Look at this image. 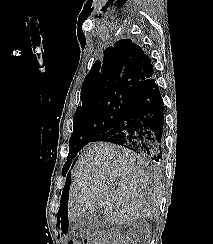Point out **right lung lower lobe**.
<instances>
[{"label": "right lung lower lobe", "instance_id": "1", "mask_svg": "<svg viewBox=\"0 0 213 244\" xmlns=\"http://www.w3.org/2000/svg\"><path fill=\"white\" fill-rule=\"evenodd\" d=\"M163 106L159 87L155 80L151 79L132 98L116 126L95 137L92 142L114 143L130 149L150 161L159 162L162 159L164 138ZM70 181L71 173L69 171L63 195L69 191Z\"/></svg>", "mask_w": 213, "mask_h": 244}]
</instances>
